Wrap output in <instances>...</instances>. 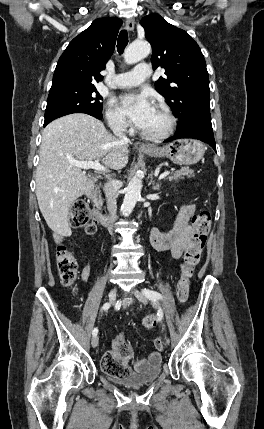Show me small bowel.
Segmentation results:
<instances>
[{
  "label": "small bowel",
  "mask_w": 264,
  "mask_h": 429,
  "mask_svg": "<svg viewBox=\"0 0 264 429\" xmlns=\"http://www.w3.org/2000/svg\"><path fill=\"white\" fill-rule=\"evenodd\" d=\"M195 211V205L192 203H186L181 207V210L176 218V221L171 229L159 230L156 228L150 231V243L151 245L160 252H169L171 258L179 259L183 252L188 248L191 242L195 238V230L189 226L188 221ZM97 230V221L94 220L87 228L86 233L93 235ZM71 235V230L67 229L61 233L54 234V240L58 245H65V238ZM92 267L90 264L85 265L82 270L81 278L86 281L91 275ZM124 339L119 336L113 342V348L108 354H116L117 350L124 346ZM160 350H153L149 353L148 358H137L131 360L129 358L126 361V367L131 371L133 368L138 372H143L150 367L160 364L161 356Z\"/></svg>",
  "instance_id": "obj_1"
}]
</instances>
